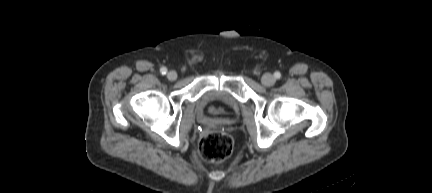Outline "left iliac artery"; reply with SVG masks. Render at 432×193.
I'll use <instances>...</instances> for the list:
<instances>
[{"instance_id": "1", "label": "left iliac artery", "mask_w": 432, "mask_h": 193, "mask_svg": "<svg viewBox=\"0 0 432 193\" xmlns=\"http://www.w3.org/2000/svg\"><path fill=\"white\" fill-rule=\"evenodd\" d=\"M274 76H275L276 79H280L281 78V73L277 71V72L274 73Z\"/></svg>"}]
</instances>
